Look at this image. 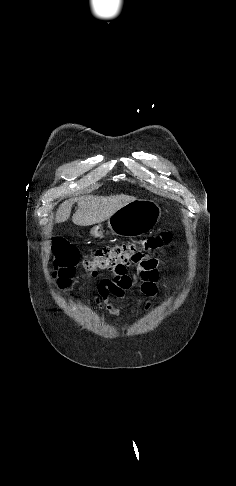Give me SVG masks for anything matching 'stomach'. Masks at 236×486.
Listing matches in <instances>:
<instances>
[{
	"mask_svg": "<svg viewBox=\"0 0 236 486\" xmlns=\"http://www.w3.org/2000/svg\"><path fill=\"white\" fill-rule=\"evenodd\" d=\"M161 207L153 200H134L118 209L108 220L111 232L123 237H137L150 232L161 218ZM101 224L91 229L95 237H103Z\"/></svg>",
	"mask_w": 236,
	"mask_h": 486,
	"instance_id": "1",
	"label": "stomach"
}]
</instances>
